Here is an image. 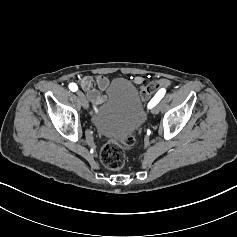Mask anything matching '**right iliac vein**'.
Here are the masks:
<instances>
[{
	"label": "right iliac vein",
	"mask_w": 237,
	"mask_h": 237,
	"mask_svg": "<svg viewBox=\"0 0 237 237\" xmlns=\"http://www.w3.org/2000/svg\"><path fill=\"white\" fill-rule=\"evenodd\" d=\"M77 95L81 101L83 108L87 109L89 107V104H88V101H87V98L85 97V95L81 91H78Z\"/></svg>",
	"instance_id": "right-iliac-vein-1"
}]
</instances>
